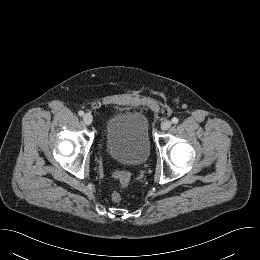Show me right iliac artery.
Segmentation results:
<instances>
[{
	"instance_id": "1",
	"label": "right iliac artery",
	"mask_w": 260,
	"mask_h": 260,
	"mask_svg": "<svg viewBox=\"0 0 260 260\" xmlns=\"http://www.w3.org/2000/svg\"><path fill=\"white\" fill-rule=\"evenodd\" d=\"M78 115H79V116H83V115H84V112H83V111H79V112H78Z\"/></svg>"
}]
</instances>
